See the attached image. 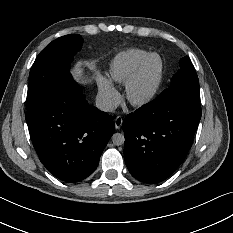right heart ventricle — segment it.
Returning <instances> with one entry per match:
<instances>
[{
	"label": "right heart ventricle",
	"mask_w": 233,
	"mask_h": 233,
	"mask_svg": "<svg viewBox=\"0 0 233 233\" xmlns=\"http://www.w3.org/2000/svg\"><path fill=\"white\" fill-rule=\"evenodd\" d=\"M150 54L151 52L148 50L137 48L116 54L109 63V80L116 84L125 85Z\"/></svg>",
	"instance_id": "obj_1"
}]
</instances>
